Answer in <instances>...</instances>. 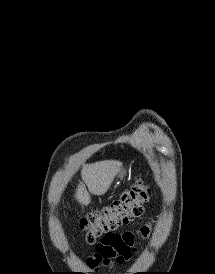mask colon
<instances>
[{"label":"colon","instance_id":"5ec220e1","mask_svg":"<svg viewBox=\"0 0 215 274\" xmlns=\"http://www.w3.org/2000/svg\"><path fill=\"white\" fill-rule=\"evenodd\" d=\"M149 185L139 178L137 182L110 205L90 213L81 220V229L88 243H94L101 236L129 224L143 213L148 198Z\"/></svg>","mask_w":215,"mask_h":274}]
</instances>
